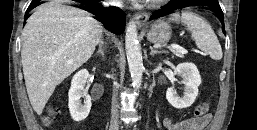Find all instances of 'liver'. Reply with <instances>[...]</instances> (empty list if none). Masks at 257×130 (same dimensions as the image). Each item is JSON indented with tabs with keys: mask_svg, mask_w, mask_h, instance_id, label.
<instances>
[{
	"mask_svg": "<svg viewBox=\"0 0 257 130\" xmlns=\"http://www.w3.org/2000/svg\"><path fill=\"white\" fill-rule=\"evenodd\" d=\"M102 32L87 12L57 1L39 6L28 18L21 62L28 97L37 114L56 86L91 58Z\"/></svg>",
	"mask_w": 257,
	"mask_h": 130,
	"instance_id": "6515ba94",
	"label": "liver"
}]
</instances>
